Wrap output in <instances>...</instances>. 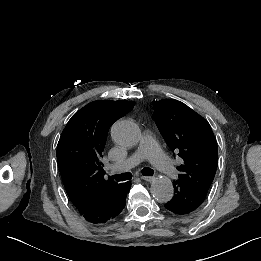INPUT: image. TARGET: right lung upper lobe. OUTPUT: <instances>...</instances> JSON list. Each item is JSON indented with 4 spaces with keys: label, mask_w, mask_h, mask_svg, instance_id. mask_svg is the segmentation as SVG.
<instances>
[{
    "label": "right lung upper lobe",
    "mask_w": 261,
    "mask_h": 261,
    "mask_svg": "<svg viewBox=\"0 0 261 261\" xmlns=\"http://www.w3.org/2000/svg\"><path fill=\"white\" fill-rule=\"evenodd\" d=\"M133 107L131 101H94L65 126L57 145V161L66 192L79 212L95 195L118 185L104 179L102 152L111 124Z\"/></svg>",
    "instance_id": "1"
}]
</instances>
